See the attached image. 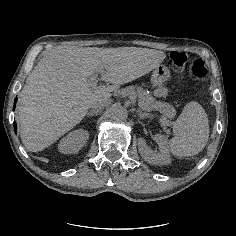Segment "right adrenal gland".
Masks as SVG:
<instances>
[{"label":"right adrenal gland","mask_w":236,"mask_h":236,"mask_svg":"<svg viewBox=\"0 0 236 236\" xmlns=\"http://www.w3.org/2000/svg\"><path fill=\"white\" fill-rule=\"evenodd\" d=\"M99 112H100V110L92 109L90 112L87 113V117H89V116H94V115H98Z\"/></svg>","instance_id":"right-adrenal-gland-1"}]
</instances>
